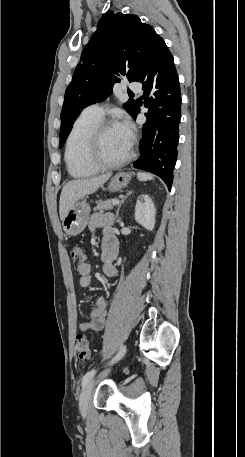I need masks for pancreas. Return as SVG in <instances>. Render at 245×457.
I'll return each instance as SVG.
<instances>
[{
	"mask_svg": "<svg viewBox=\"0 0 245 457\" xmlns=\"http://www.w3.org/2000/svg\"><path fill=\"white\" fill-rule=\"evenodd\" d=\"M114 198H110V200H99L97 206H94L93 210H111L113 208Z\"/></svg>",
	"mask_w": 245,
	"mask_h": 457,
	"instance_id": "cf45deb5",
	"label": "pancreas"
}]
</instances>
